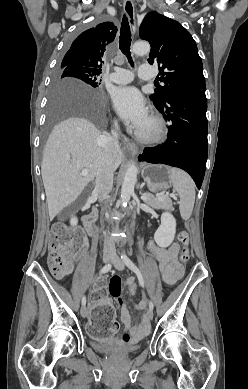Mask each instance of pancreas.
<instances>
[{
    "mask_svg": "<svg viewBox=\"0 0 248 389\" xmlns=\"http://www.w3.org/2000/svg\"><path fill=\"white\" fill-rule=\"evenodd\" d=\"M145 202L154 208H165L173 210L172 201L169 197L160 200L158 197H154L153 195L147 194V199L145 200Z\"/></svg>",
    "mask_w": 248,
    "mask_h": 389,
    "instance_id": "cf45deb5",
    "label": "pancreas"
}]
</instances>
